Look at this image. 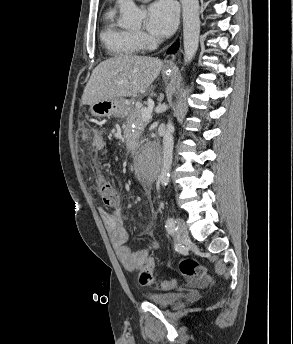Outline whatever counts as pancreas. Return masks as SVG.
Listing matches in <instances>:
<instances>
[{
	"mask_svg": "<svg viewBox=\"0 0 293 344\" xmlns=\"http://www.w3.org/2000/svg\"><path fill=\"white\" fill-rule=\"evenodd\" d=\"M133 124L140 127V130H136V133L138 135H141L144 128L147 125V122L143 121L142 115H141V109L139 108H132L130 111V114L127 117V125L131 126Z\"/></svg>",
	"mask_w": 293,
	"mask_h": 344,
	"instance_id": "pancreas-1",
	"label": "pancreas"
}]
</instances>
